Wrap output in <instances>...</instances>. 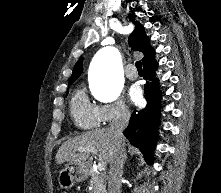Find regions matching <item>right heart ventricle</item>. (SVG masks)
I'll return each mask as SVG.
<instances>
[{"label": "right heart ventricle", "instance_id": "e07e8e85", "mask_svg": "<svg viewBox=\"0 0 221 193\" xmlns=\"http://www.w3.org/2000/svg\"><path fill=\"white\" fill-rule=\"evenodd\" d=\"M70 110L73 120L79 128H96L101 123L98 106L89 100L83 90H78L73 95Z\"/></svg>", "mask_w": 221, "mask_h": 193}]
</instances>
